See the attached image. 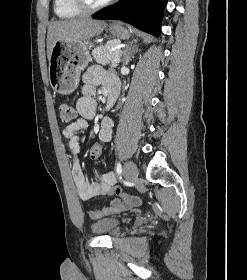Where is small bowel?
<instances>
[{
  "label": "small bowel",
  "instance_id": "small-bowel-1",
  "mask_svg": "<svg viewBox=\"0 0 247 280\" xmlns=\"http://www.w3.org/2000/svg\"><path fill=\"white\" fill-rule=\"evenodd\" d=\"M100 84L106 85L108 91L110 89L118 90L119 87L118 79L113 74L106 72L99 66L90 67L83 75L82 96L76 102L78 117L63 130L64 137L69 140L68 153L71 174L80 199L88 202L97 196H119L108 207L89 210V216L92 219H99L112 213H120L141 204L138 197L124 195L119 188H115L116 177L112 172L104 173L99 181L92 183L87 181L84 176L79 160L82 138L78 133L86 129L89 121L95 117L96 101L94 96ZM112 133V120L107 117L103 118L98 130V138L107 143L111 140Z\"/></svg>",
  "mask_w": 247,
  "mask_h": 280
}]
</instances>
